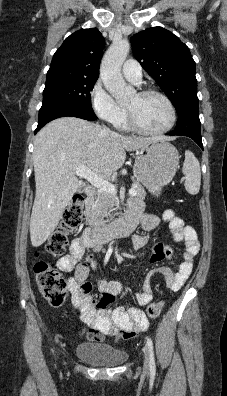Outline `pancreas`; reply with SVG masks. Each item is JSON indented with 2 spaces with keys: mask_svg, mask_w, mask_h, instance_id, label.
<instances>
[{
  "mask_svg": "<svg viewBox=\"0 0 227 396\" xmlns=\"http://www.w3.org/2000/svg\"><path fill=\"white\" fill-rule=\"evenodd\" d=\"M132 188L136 190L139 198L145 199L146 191L139 182L134 181ZM117 201L118 198L115 194L98 192L97 197L86 205L87 223L91 226H101L111 220V212L116 209L114 206L117 205ZM104 218H107V220H104Z\"/></svg>",
  "mask_w": 227,
  "mask_h": 396,
  "instance_id": "cf45deb5",
  "label": "pancreas"
}]
</instances>
